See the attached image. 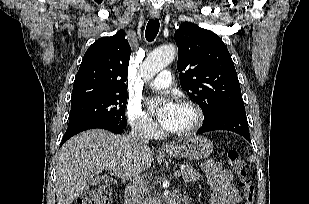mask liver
Wrapping results in <instances>:
<instances>
[{
    "instance_id": "6515ba94",
    "label": "liver",
    "mask_w": 309,
    "mask_h": 204,
    "mask_svg": "<svg viewBox=\"0 0 309 204\" xmlns=\"http://www.w3.org/2000/svg\"><path fill=\"white\" fill-rule=\"evenodd\" d=\"M153 161L149 147L134 146L125 135L106 130L85 131L67 141L56 157L55 190L58 204H71L88 189L89 180L116 168L128 178L147 170Z\"/></svg>"
}]
</instances>
